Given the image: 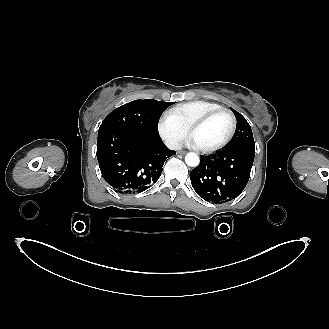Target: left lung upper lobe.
<instances>
[{"mask_svg":"<svg viewBox=\"0 0 329 329\" xmlns=\"http://www.w3.org/2000/svg\"><path fill=\"white\" fill-rule=\"evenodd\" d=\"M231 110L237 119V127L232 141L226 148H231L240 145L255 146L252 129L249 123L239 112L232 108Z\"/></svg>","mask_w":329,"mask_h":329,"instance_id":"5c2ea615","label":"left lung upper lobe"}]
</instances>
